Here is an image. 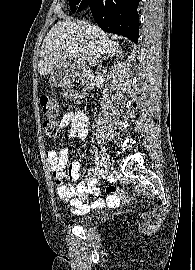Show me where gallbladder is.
<instances>
[{
    "label": "gallbladder",
    "instance_id": "gallbladder-1",
    "mask_svg": "<svg viewBox=\"0 0 195 270\" xmlns=\"http://www.w3.org/2000/svg\"><path fill=\"white\" fill-rule=\"evenodd\" d=\"M74 73L75 70H73L71 62L62 63L52 71L49 84L52 87H58L62 81L71 77Z\"/></svg>",
    "mask_w": 195,
    "mask_h": 270
}]
</instances>
